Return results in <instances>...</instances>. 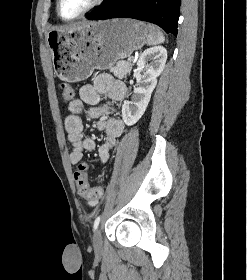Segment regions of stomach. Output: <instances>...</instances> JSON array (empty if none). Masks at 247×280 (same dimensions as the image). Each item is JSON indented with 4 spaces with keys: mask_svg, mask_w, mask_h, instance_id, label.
<instances>
[{
    "mask_svg": "<svg viewBox=\"0 0 247 280\" xmlns=\"http://www.w3.org/2000/svg\"><path fill=\"white\" fill-rule=\"evenodd\" d=\"M148 26L133 19L90 22L65 32L51 31L46 40L56 75L63 81L87 79L95 69L111 68L146 42Z\"/></svg>",
    "mask_w": 247,
    "mask_h": 280,
    "instance_id": "stomach-1",
    "label": "stomach"
}]
</instances>
